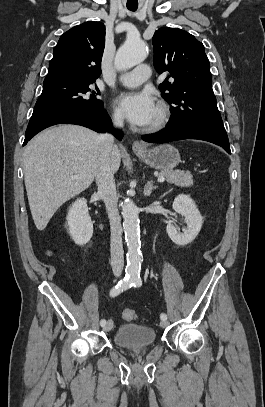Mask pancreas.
I'll return each mask as SVG.
<instances>
[{
	"mask_svg": "<svg viewBox=\"0 0 265 407\" xmlns=\"http://www.w3.org/2000/svg\"><path fill=\"white\" fill-rule=\"evenodd\" d=\"M160 176H164L168 183L175 184L180 187H191L193 186V176L190 172L184 171H162Z\"/></svg>",
	"mask_w": 265,
	"mask_h": 407,
	"instance_id": "cf45deb5",
	"label": "pancreas"
}]
</instances>
